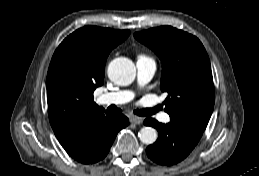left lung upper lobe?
<instances>
[{
	"label": "left lung upper lobe",
	"mask_w": 259,
	"mask_h": 176,
	"mask_svg": "<svg viewBox=\"0 0 259 176\" xmlns=\"http://www.w3.org/2000/svg\"><path fill=\"white\" fill-rule=\"evenodd\" d=\"M163 64L161 90L168 93L165 111L171 121L204 131L214 107V85L208 54L200 40L171 26L136 32Z\"/></svg>",
	"instance_id": "left-lung-upper-lobe-1"
}]
</instances>
